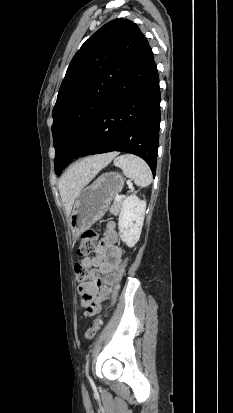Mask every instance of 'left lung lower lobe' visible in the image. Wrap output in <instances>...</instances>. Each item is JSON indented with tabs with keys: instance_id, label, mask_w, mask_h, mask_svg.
<instances>
[{
	"instance_id": "obj_1",
	"label": "left lung lower lobe",
	"mask_w": 233,
	"mask_h": 413,
	"mask_svg": "<svg viewBox=\"0 0 233 413\" xmlns=\"http://www.w3.org/2000/svg\"><path fill=\"white\" fill-rule=\"evenodd\" d=\"M160 100L158 71L145 38L74 158L128 152L143 158L155 176Z\"/></svg>"
}]
</instances>
